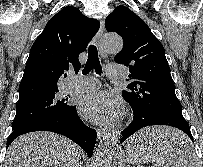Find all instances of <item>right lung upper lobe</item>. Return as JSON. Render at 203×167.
<instances>
[{
	"label": "right lung upper lobe",
	"instance_id": "cb5924a9",
	"mask_svg": "<svg viewBox=\"0 0 203 167\" xmlns=\"http://www.w3.org/2000/svg\"><path fill=\"white\" fill-rule=\"evenodd\" d=\"M99 26V21L84 16L73 6L53 16L31 47L19 86L18 103L58 91L57 83L64 71L79 70L78 56Z\"/></svg>",
	"mask_w": 203,
	"mask_h": 167
}]
</instances>
